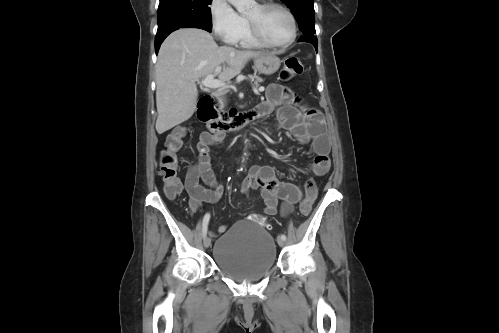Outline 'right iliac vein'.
<instances>
[{
    "mask_svg": "<svg viewBox=\"0 0 499 333\" xmlns=\"http://www.w3.org/2000/svg\"><path fill=\"white\" fill-rule=\"evenodd\" d=\"M203 244H204V247H205V248H208V247L211 245V239H210L209 237H206V238L204 239Z\"/></svg>",
    "mask_w": 499,
    "mask_h": 333,
    "instance_id": "63e3f726",
    "label": "right iliac vein"
}]
</instances>
